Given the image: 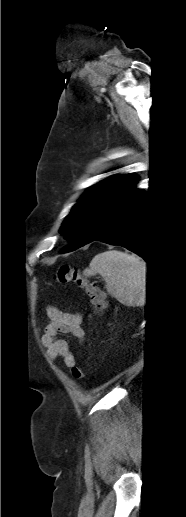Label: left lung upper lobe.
Segmentation results:
<instances>
[{
	"label": "left lung upper lobe",
	"instance_id": "left-lung-upper-lobe-1",
	"mask_svg": "<svg viewBox=\"0 0 186 517\" xmlns=\"http://www.w3.org/2000/svg\"><path fill=\"white\" fill-rule=\"evenodd\" d=\"M136 182L133 175L125 174L109 177L91 186L62 224L61 234L73 244L65 247L63 252L86 245L103 216Z\"/></svg>",
	"mask_w": 186,
	"mask_h": 517
}]
</instances>
